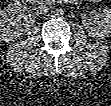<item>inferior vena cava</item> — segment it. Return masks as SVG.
Listing matches in <instances>:
<instances>
[{"label": "inferior vena cava", "instance_id": "602c4592", "mask_svg": "<svg viewBox=\"0 0 111 106\" xmlns=\"http://www.w3.org/2000/svg\"><path fill=\"white\" fill-rule=\"evenodd\" d=\"M36 9L41 14H45L49 11V7L46 6L43 1L39 2V4L36 6Z\"/></svg>", "mask_w": 111, "mask_h": 106}]
</instances>
